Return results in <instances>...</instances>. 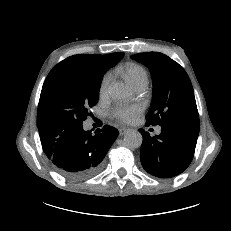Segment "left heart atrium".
<instances>
[{"label":"left heart atrium","instance_id":"left-heart-atrium-1","mask_svg":"<svg viewBox=\"0 0 231 231\" xmlns=\"http://www.w3.org/2000/svg\"><path fill=\"white\" fill-rule=\"evenodd\" d=\"M138 112L137 107L119 106L114 109L113 114L120 121L129 122Z\"/></svg>","mask_w":231,"mask_h":231}]
</instances>
